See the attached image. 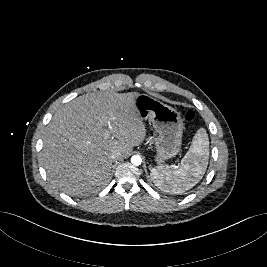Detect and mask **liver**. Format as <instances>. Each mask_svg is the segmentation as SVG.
<instances>
[{"label":"liver","instance_id":"obj_1","mask_svg":"<svg viewBox=\"0 0 267 267\" xmlns=\"http://www.w3.org/2000/svg\"><path fill=\"white\" fill-rule=\"evenodd\" d=\"M137 92L89 93L62 106L43 136L42 164L64 193L84 196L110 181L113 150L122 158L143 143L146 127L134 108Z\"/></svg>","mask_w":267,"mask_h":267}]
</instances>
